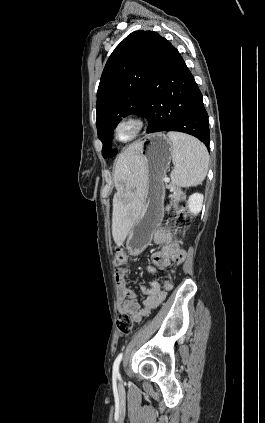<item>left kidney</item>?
I'll return each mask as SVG.
<instances>
[{
    "label": "left kidney",
    "instance_id": "left-kidney-1",
    "mask_svg": "<svg viewBox=\"0 0 265 423\" xmlns=\"http://www.w3.org/2000/svg\"><path fill=\"white\" fill-rule=\"evenodd\" d=\"M203 198V194L200 193H193L189 196L187 207L190 213L196 215L201 211Z\"/></svg>",
    "mask_w": 265,
    "mask_h": 423
}]
</instances>
